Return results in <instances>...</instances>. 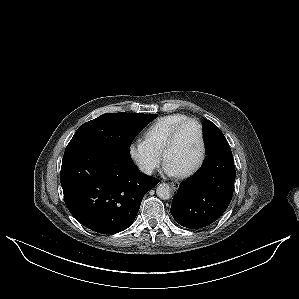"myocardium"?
Here are the masks:
<instances>
[{
	"instance_id": "obj_1",
	"label": "myocardium",
	"mask_w": 299,
	"mask_h": 299,
	"mask_svg": "<svg viewBox=\"0 0 299 299\" xmlns=\"http://www.w3.org/2000/svg\"><path fill=\"white\" fill-rule=\"evenodd\" d=\"M189 126H194L198 132V136H199V152H198V156L196 161L194 162V164L183 170L182 172H180V175L183 177L189 176L191 174H193L194 172H196L200 166L202 165L204 158H205V152H206V148H205V136H204V131L203 128L201 126V124L195 120V119H189L186 122L182 123L180 126H178L170 135L167 144L163 150L162 153V159L165 163H169V156L171 153V150L174 147V144L176 142L177 136L179 135V133L184 130L185 128L189 127Z\"/></svg>"
}]
</instances>
